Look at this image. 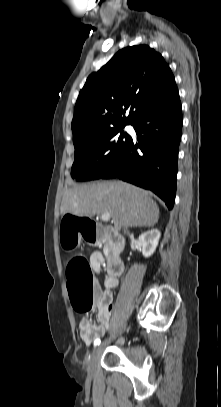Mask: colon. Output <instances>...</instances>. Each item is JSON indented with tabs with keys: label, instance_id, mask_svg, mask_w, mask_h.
Here are the masks:
<instances>
[{
	"label": "colon",
	"instance_id": "5ec220e1",
	"mask_svg": "<svg viewBox=\"0 0 221 407\" xmlns=\"http://www.w3.org/2000/svg\"><path fill=\"white\" fill-rule=\"evenodd\" d=\"M62 216L60 238L63 246L73 248L77 239H89L90 246H98L99 239H108L106 222H97L94 216ZM67 289L72 306L79 313H87L94 306L95 286L90 264L81 256L73 258L66 270Z\"/></svg>",
	"mask_w": 221,
	"mask_h": 407
}]
</instances>
